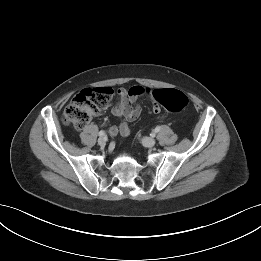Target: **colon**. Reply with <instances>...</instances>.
Wrapping results in <instances>:
<instances>
[{"mask_svg": "<svg viewBox=\"0 0 261 261\" xmlns=\"http://www.w3.org/2000/svg\"><path fill=\"white\" fill-rule=\"evenodd\" d=\"M153 98L156 105L162 106L166 112L174 113L183 110L188 105V97L175 89L154 90ZM113 96V90L109 87L89 88L75 96L65 108L62 119L67 125L75 129H82L93 116L107 106ZM108 133L112 137L119 135L120 130L116 126L109 128Z\"/></svg>", "mask_w": 261, "mask_h": 261, "instance_id": "5ec220e1", "label": "colon"}]
</instances>
